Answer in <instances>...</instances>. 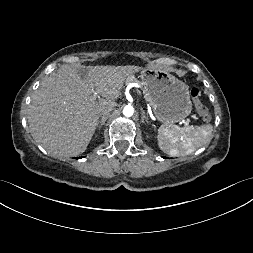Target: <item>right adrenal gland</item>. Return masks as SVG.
<instances>
[{
  "label": "right adrenal gland",
  "instance_id": "obj_1",
  "mask_svg": "<svg viewBox=\"0 0 253 253\" xmlns=\"http://www.w3.org/2000/svg\"><path fill=\"white\" fill-rule=\"evenodd\" d=\"M107 116L106 117H103L100 121H98V127L99 129L105 124L106 120H107Z\"/></svg>",
  "mask_w": 253,
  "mask_h": 253
}]
</instances>
